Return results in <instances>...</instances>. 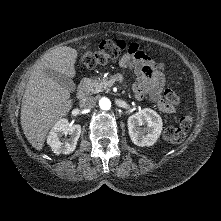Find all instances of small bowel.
Returning <instances> with one entry per match:
<instances>
[{"label": "small bowel", "mask_w": 221, "mask_h": 221, "mask_svg": "<svg viewBox=\"0 0 221 221\" xmlns=\"http://www.w3.org/2000/svg\"><path fill=\"white\" fill-rule=\"evenodd\" d=\"M115 43L125 50L119 60V65L122 68L133 70L136 76V81L133 84L135 97L139 100L149 97L161 112L174 113L175 106L167 102L162 95L166 78L161 72L153 70V61L140 49L138 44H127L124 41H116Z\"/></svg>", "instance_id": "c3829d8e"}]
</instances>
